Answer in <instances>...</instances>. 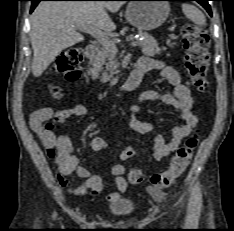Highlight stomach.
<instances>
[{"instance_id":"1","label":"stomach","mask_w":234,"mask_h":231,"mask_svg":"<svg viewBox=\"0 0 234 231\" xmlns=\"http://www.w3.org/2000/svg\"><path fill=\"white\" fill-rule=\"evenodd\" d=\"M170 13L169 2L165 0H137L126 8V20L140 31H150L160 27Z\"/></svg>"}]
</instances>
